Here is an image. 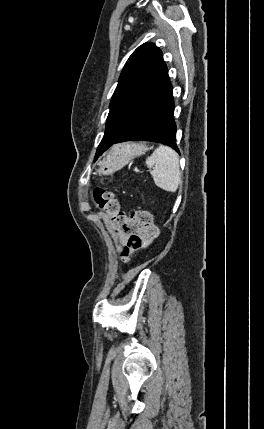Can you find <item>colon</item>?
<instances>
[{
	"label": "colon",
	"instance_id": "obj_1",
	"mask_svg": "<svg viewBox=\"0 0 264 429\" xmlns=\"http://www.w3.org/2000/svg\"><path fill=\"white\" fill-rule=\"evenodd\" d=\"M94 200L99 208L105 210L112 227L129 234L127 246L122 250V257L129 260L138 250L148 247L157 235V228L152 215L145 210H136L127 214L120 210L114 194L102 188H96Z\"/></svg>",
	"mask_w": 264,
	"mask_h": 429
}]
</instances>
